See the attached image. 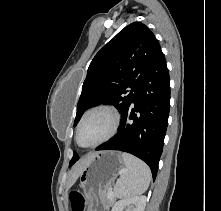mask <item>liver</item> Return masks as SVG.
Returning <instances> with one entry per match:
<instances>
[{"instance_id": "1", "label": "liver", "mask_w": 221, "mask_h": 211, "mask_svg": "<svg viewBox=\"0 0 221 211\" xmlns=\"http://www.w3.org/2000/svg\"><path fill=\"white\" fill-rule=\"evenodd\" d=\"M95 154L96 153L86 156L85 158L76 162V164L72 167V170L70 171V178L67 183L66 191H68L73 186V184L76 182V180L80 176L82 170L91 161V159L94 157Z\"/></svg>"}]
</instances>
